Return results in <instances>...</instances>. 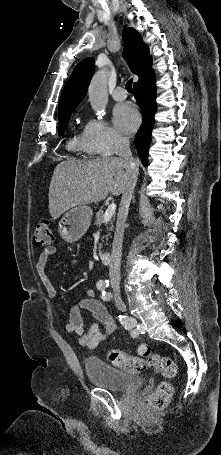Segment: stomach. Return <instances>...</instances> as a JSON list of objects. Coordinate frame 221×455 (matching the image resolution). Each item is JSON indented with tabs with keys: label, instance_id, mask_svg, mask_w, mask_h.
Masks as SVG:
<instances>
[{
	"label": "stomach",
	"instance_id": "obj_1",
	"mask_svg": "<svg viewBox=\"0 0 221 455\" xmlns=\"http://www.w3.org/2000/svg\"><path fill=\"white\" fill-rule=\"evenodd\" d=\"M93 210L87 205L70 209L59 221L58 232L67 243H75L82 238L90 226Z\"/></svg>",
	"mask_w": 221,
	"mask_h": 455
}]
</instances>
